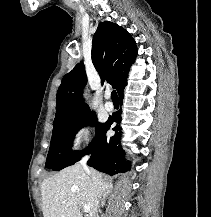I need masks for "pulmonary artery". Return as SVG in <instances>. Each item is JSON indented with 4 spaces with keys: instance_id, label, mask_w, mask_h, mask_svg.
<instances>
[{
    "instance_id": "1",
    "label": "pulmonary artery",
    "mask_w": 211,
    "mask_h": 217,
    "mask_svg": "<svg viewBox=\"0 0 211 217\" xmlns=\"http://www.w3.org/2000/svg\"><path fill=\"white\" fill-rule=\"evenodd\" d=\"M106 98H107V101H106L105 104H104V108H105L106 111L112 112L113 109H114V105H113V103L109 100V99H110V93H106Z\"/></svg>"
}]
</instances>
